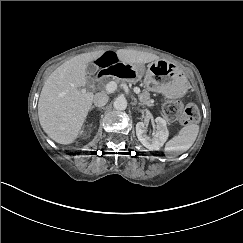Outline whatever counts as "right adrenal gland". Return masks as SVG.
Instances as JSON below:
<instances>
[{"instance_id":"right-adrenal-gland-1","label":"right adrenal gland","mask_w":243,"mask_h":243,"mask_svg":"<svg viewBox=\"0 0 243 243\" xmlns=\"http://www.w3.org/2000/svg\"><path fill=\"white\" fill-rule=\"evenodd\" d=\"M94 109H97V107L96 106H91L90 112L93 111Z\"/></svg>"}]
</instances>
